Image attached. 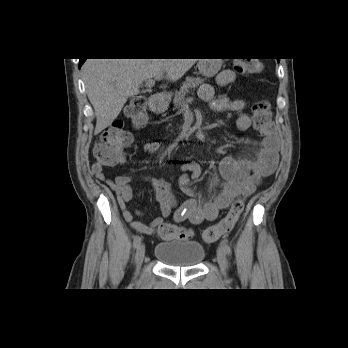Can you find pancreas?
Masks as SVG:
<instances>
[{
	"instance_id": "obj_1",
	"label": "pancreas",
	"mask_w": 348,
	"mask_h": 348,
	"mask_svg": "<svg viewBox=\"0 0 348 348\" xmlns=\"http://www.w3.org/2000/svg\"><path fill=\"white\" fill-rule=\"evenodd\" d=\"M205 79L197 77H187L183 85L180 87L179 91H176L173 100L174 108L179 109L185 103V96L190 92L191 89L197 88L199 85L203 84Z\"/></svg>"
}]
</instances>
